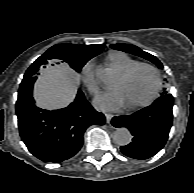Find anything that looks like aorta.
<instances>
[{"instance_id": "1", "label": "aorta", "mask_w": 194, "mask_h": 193, "mask_svg": "<svg viewBox=\"0 0 194 193\" xmlns=\"http://www.w3.org/2000/svg\"><path fill=\"white\" fill-rule=\"evenodd\" d=\"M97 78L105 84L113 81L114 74L111 69L98 67L96 69ZM132 136L127 128H118L114 133V141L120 146L128 145L131 142Z\"/></svg>"}]
</instances>
